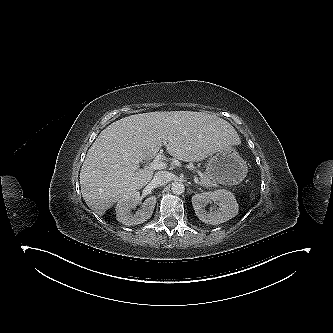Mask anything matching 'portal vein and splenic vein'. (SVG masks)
Returning a JSON list of instances; mask_svg holds the SVG:
<instances>
[{
  "instance_id": "obj_1",
  "label": "portal vein and splenic vein",
  "mask_w": 333,
  "mask_h": 333,
  "mask_svg": "<svg viewBox=\"0 0 333 333\" xmlns=\"http://www.w3.org/2000/svg\"><path fill=\"white\" fill-rule=\"evenodd\" d=\"M166 166H167L166 162L161 161L159 159H155L148 165V168L153 170H159V169H164ZM194 182L196 184H199V180L197 177L194 178Z\"/></svg>"
}]
</instances>
